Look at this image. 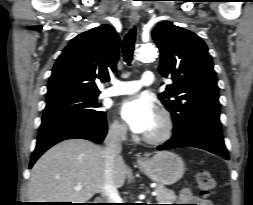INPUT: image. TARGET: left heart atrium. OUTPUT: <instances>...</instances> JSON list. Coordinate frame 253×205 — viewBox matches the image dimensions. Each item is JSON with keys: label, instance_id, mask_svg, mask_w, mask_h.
<instances>
[{"label": "left heart atrium", "instance_id": "obj_1", "mask_svg": "<svg viewBox=\"0 0 253 205\" xmlns=\"http://www.w3.org/2000/svg\"><path fill=\"white\" fill-rule=\"evenodd\" d=\"M120 114L130 129L138 134H146L157 118L154 104L144 96L125 100L120 107Z\"/></svg>", "mask_w": 253, "mask_h": 205}]
</instances>
